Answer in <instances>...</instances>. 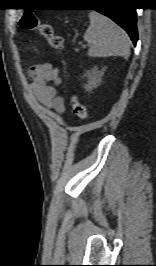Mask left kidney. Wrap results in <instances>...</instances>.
Wrapping results in <instances>:
<instances>
[{"label":"left kidney","instance_id":"5707ae66","mask_svg":"<svg viewBox=\"0 0 156 266\" xmlns=\"http://www.w3.org/2000/svg\"><path fill=\"white\" fill-rule=\"evenodd\" d=\"M88 77V83L85 85L87 91H91L93 88H96L101 81V73L97 68H93L86 72Z\"/></svg>","mask_w":156,"mask_h":266}]
</instances>
